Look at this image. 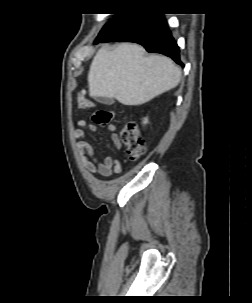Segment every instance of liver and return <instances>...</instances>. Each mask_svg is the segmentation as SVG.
Here are the masks:
<instances>
[{
  "mask_svg": "<svg viewBox=\"0 0 252 303\" xmlns=\"http://www.w3.org/2000/svg\"><path fill=\"white\" fill-rule=\"evenodd\" d=\"M181 69L168 57L150 55L137 44L102 47L88 73L91 97L115 98L123 105H141L176 87Z\"/></svg>",
  "mask_w": 252,
  "mask_h": 303,
  "instance_id": "6515ba94",
  "label": "liver"
}]
</instances>
